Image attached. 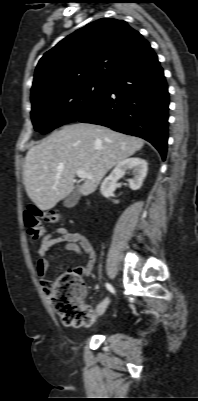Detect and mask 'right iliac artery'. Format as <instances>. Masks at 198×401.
Listing matches in <instances>:
<instances>
[{"instance_id": "right-iliac-artery-1", "label": "right iliac artery", "mask_w": 198, "mask_h": 401, "mask_svg": "<svg viewBox=\"0 0 198 401\" xmlns=\"http://www.w3.org/2000/svg\"><path fill=\"white\" fill-rule=\"evenodd\" d=\"M106 288H107L110 292L115 293L114 288H113L112 285H110L109 283H106Z\"/></svg>"}]
</instances>
